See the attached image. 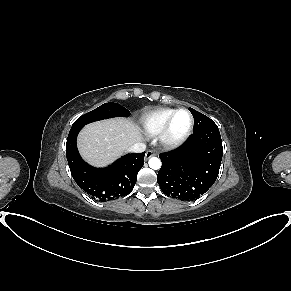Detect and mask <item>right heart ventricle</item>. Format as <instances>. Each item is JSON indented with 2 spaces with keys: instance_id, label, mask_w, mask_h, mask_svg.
Segmentation results:
<instances>
[{
  "instance_id": "1",
  "label": "right heart ventricle",
  "mask_w": 291,
  "mask_h": 291,
  "mask_svg": "<svg viewBox=\"0 0 291 291\" xmlns=\"http://www.w3.org/2000/svg\"><path fill=\"white\" fill-rule=\"evenodd\" d=\"M174 111L171 108H161L146 115L142 120L145 133L150 136L160 134Z\"/></svg>"
}]
</instances>
